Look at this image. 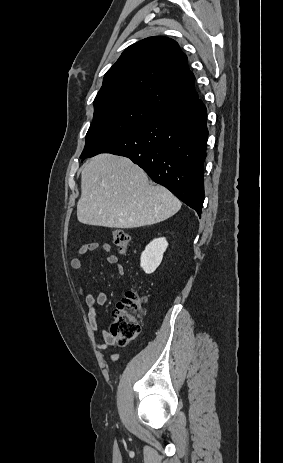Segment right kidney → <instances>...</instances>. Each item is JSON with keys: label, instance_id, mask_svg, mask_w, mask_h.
<instances>
[{"label": "right kidney", "instance_id": "right-kidney-1", "mask_svg": "<svg viewBox=\"0 0 283 463\" xmlns=\"http://www.w3.org/2000/svg\"><path fill=\"white\" fill-rule=\"evenodd\" d=\"M168 242L165 238H157L151 241L141 254L140 266L146 274L153 273L161 264L163 254L166 251Z\"/></svg>", "mask_w": 283, "mask_h": 463}]
</instances>
